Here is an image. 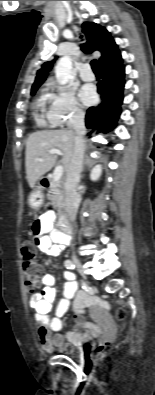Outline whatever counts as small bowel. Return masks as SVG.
<instances>
[{
  "label": "small bowel",
  "instance_id": "small-bowel-1",
  "mask_svg": "<svg viewBox=\"0 0 155 395\" xmlns=\"http://www.w3.org/2000/svg\"><path fill=\"white\" fill-rule=\"evenodd\" d=\"M54 219L55 214L52 211L42 214L33 224L32 232L35 244L41 252L58 256L70 243V238L53 230ZM65 278L64 297L57 301L54 317L49 316L52 305L56 301L55 279L51 274L42 276L43 288H36L35 294L29 300L30 306L35 311L34 321L37 336L42 347L47 351L62 347L65 341L80 345L98 334L100 327L94 323L83 322L81 316L87 307H92L96 314L101 315L102 309L108 306L106 302L97 297L84 292H77V284L74 281L73 274L68 272L65 274ZM71 300L73 311L78 319L75 329L65 336L60 334L52 336L53 332L61 331L63 327L62 317L68 311Z\"/></svg>",
  "mask_w": 155,
  "mask_h": 395
}]
</instances>
